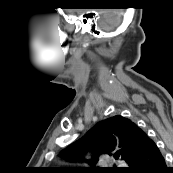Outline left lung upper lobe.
<instances>
[{
  "label": "left lung upper lobe",
  "mask_w": 173,
  "mask_h": 173,
  "mask_svg": "<svg viewBox=\"0 0 173 173\" xmlns=\"http://www.w3.org/2000/svg\"><path fill=\"white\" fill-rule=\"evenodd\" d=\"M144 131L132 120L116 115L98 122L82 138L68 146L61 153L65 158L76 161L83 153L91 150L93 158L87 162L92 167L58 168L69 173H118L126 171L120 168L95 167L102 154L121 158L130 166L131 160L144 144Z\"/></svg>",
  "instance_id": "left-lung-upper-lobe-1"
}]
</instances>
